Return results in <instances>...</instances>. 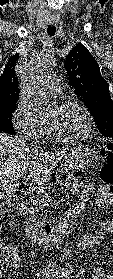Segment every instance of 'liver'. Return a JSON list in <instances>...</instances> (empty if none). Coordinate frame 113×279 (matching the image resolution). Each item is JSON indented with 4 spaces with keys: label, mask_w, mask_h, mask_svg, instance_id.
<instances>
[{
    "label": "liver",
    "mask_w": 113,
    "mask_h": 279,
    "mask_svg": "<svg viewBox=\"0 0 113 279\" xmlns=\"http://www.w3.org/2000/svg\"><path fill=\"white\" fill-rule=\"evenodd\" d=\"M65 151L48 154L38 147H31L17 138L0 133V207L19 186L20 172L28 173L34 184H44L53 166L66 157Z\"/></svg>",
    "instance_id": "6515ba94"
}]
</instances>
